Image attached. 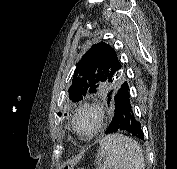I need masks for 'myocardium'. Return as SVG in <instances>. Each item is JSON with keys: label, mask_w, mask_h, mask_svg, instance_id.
<instances>
[{"label": "myocardium", "mask_w": 177, "mask_h": 169, "mask_svg": "<svg viewBox=\"0 0 177 169\" xmlns=\"http://www.w3.org/2000/svg\"><path fill=\"white\" fill-rule=\"evenodd\" d=\"M89 112L93 115L95 125L91 132L84 133L79 127H78V118L79 116L84 113ZM104 120V113L101 107H99L97 104L94 103H83L81 104L74 112L72 117V126L75 132L79 135V137L83 139H90L94 137L101 129L103 125Z\"/></svg>", "instance_id": "obj_1"}]
</instances>
